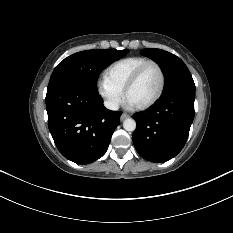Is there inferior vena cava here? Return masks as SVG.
Returning <instances> with one entry per match:
<instances>
[{
    "label": "inferior vena cava",
    "instance_id": "inferior-vena-cava-1",
    "mask_svg": "<svg viewBox=\"0 0 233 233\" xmlns=\"http://www.w3.org/2000/svg\"><path fill=\"white\" fill-rule=\"evenodd\" d=\"M104 106L109 110H118L119 105L115 101H105Z\"/></svg>",
    "mask_w": 233,
    "mask_h": 233
}]
</instances>
